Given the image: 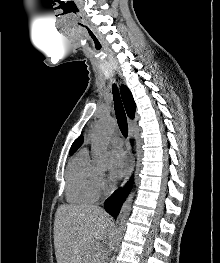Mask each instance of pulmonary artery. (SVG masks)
<instances>
[{
  "label": "pulmonary artery",
  "instance_id": "obj_1",
  "mask_svg": "<svg viewBox=\"0 0 220 263\" xmlns=\"http://www.w3.org/2000/svg\"><path fill=\"white\" fill-rule=\"evenodd\" d=\"M110 144H111L112 146L118 148V147H121V146H122L123 141H122V139H121L119 136H114V137L111 138Z\"/></svg>",
  "mask_w": 220,
  "mask_h": 263
}]
</instances>
